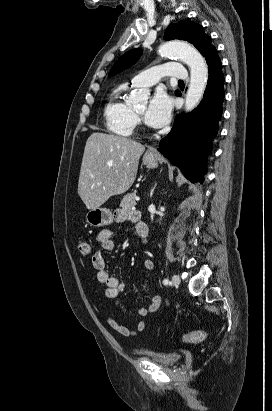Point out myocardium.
<instances>
[{
  "label": "myocardium",
  "instance_id": "1",
  "mask_svg": "<svg viewBox=\"0 0 272 411\" xmlns=\"http://www.w3.org/2000/svg\"><path fill=\"white\" fill-rule=\"evenodd\" d=\"M135 119L140 122V115L137 114L136 112L134 113ZM143 130H145V128H142Z\"/></svg>",
  "mask_w": 272,
  "mask_h": 411
}]
</instances>
